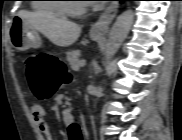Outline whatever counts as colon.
<instances>
[{
  "mask_svg": "<svg viewBox=\"0 0 182 140\" xmlns=\"http://www.w3.org/2000/svg\"><path fill=\"white\" fill-rule=\"evenodd\" d=\"M26 73L34 96L40 100L51 98L69 79L64 64L52 56H31L26 62ZM67 135L69 140H84L77 118L70 120Z\"/></svg>",
  "mask_w": 182,
  "mask_h": 140,
  "instance_id": "colon-1",
  "label": "colon"
}]
</instances>
